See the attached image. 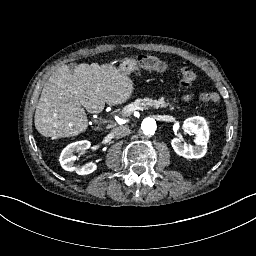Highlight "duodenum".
<instances>
[{
	"label": "duodenum",
	"instance_id": "1",
	"mask_svg": "<svg viewBox=\"0 0 256 256\" xmlns=\"http://www.w3.org/2000/svg\"><path fill=\"white\" fill-rule=\"evenodd\" d=\"M135 67V60L133 58H126L120 66V73L122 75H129Z\"/></svg>",
	"mask_w": 256,
	"mask_h": 256
}]
</instances>
